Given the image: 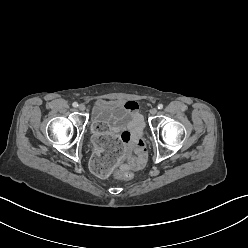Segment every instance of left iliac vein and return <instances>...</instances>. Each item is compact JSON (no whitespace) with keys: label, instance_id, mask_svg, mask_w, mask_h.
<instances>
[{"label":"left iliac vein","instance_id":"1","mask_svg":"<svg viewBox=\"0 0 248 248\" xmlns=\"http://www.w3.org/2000/svg\"><path fill=\"white\" fill-rule=\"evenodd\" d=\"M150 113H151L152 115H155V114L157 113V108H152V109L150 110Z\"/></svg>","mask_w":248,"mask_h":248}]
</instances>
